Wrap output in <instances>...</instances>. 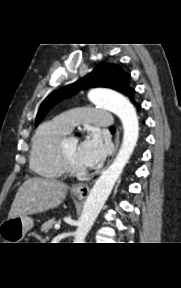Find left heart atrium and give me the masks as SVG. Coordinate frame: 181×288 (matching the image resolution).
Instances as JSON below:
<instances>
[{
  "label": "left heart atrium",
  "instance_id": "obj_1",
  "mask_svg": "<svg viewBox=\"0 0 181 288\" xmlns=\"http://www.w3.org/2000/svg\"><path fill=\"white\" fill-rule=\"evenodd\" d=\"M107 148L97 132H90L79 144L77 161L82 168H92L99 165L106 157Z\"/></svg>",
  "mask_w": 181,
  "mask_h": 288
}]
</instances>
